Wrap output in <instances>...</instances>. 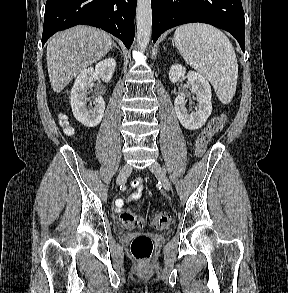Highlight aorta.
<instances>
[{
    "label": "aorta",
    "instance_id": "762f6f07",
    "mask_svg": "<svg viewBox=\"0 0 288 293\" xmlns=\"http://www.w3.org/2000/svg\"><path fill=\"white\" fill-rule=\"evenodd\" d=\"M137 45L141 52L147 49L152 31L151 0H138L136 11Z\"/></svg>",
    "mask_w": 288,
    "mask_h": 293
}]
</instances>
